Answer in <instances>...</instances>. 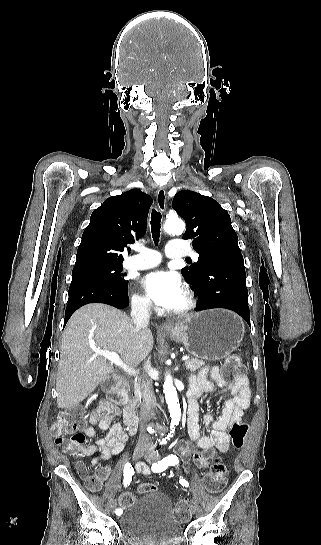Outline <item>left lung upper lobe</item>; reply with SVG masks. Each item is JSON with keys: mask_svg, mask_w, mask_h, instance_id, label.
I'll return each mask as SVG.
<instances>
[{"mask_svg": "<svg viewBox=\"0 0 321 545\" xmlns=\"http://www.w3.org/2000/svg\"><path fill=\"white\" fill-rule=\"evenodd\" d=\"M172 207L187 223L183 239H192L198 261L181 270L192 285L200 281L204 269L223 256L242 255L238 237L226 210L211 197L183 190L173 198Z\"/></svg>", "mask_w": 321, "mask_h": 545, "instance_id": "obj_1", "label": "left lung upper lobe"}]
</instances>
